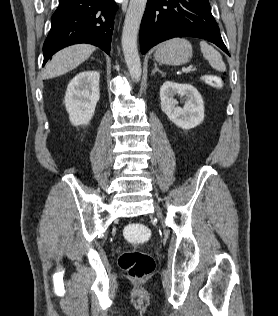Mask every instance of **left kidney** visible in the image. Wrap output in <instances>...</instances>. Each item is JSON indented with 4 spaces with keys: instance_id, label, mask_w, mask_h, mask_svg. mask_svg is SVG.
Returning <instances> with one entry per match:
<instances>
[{
    "instance_id": "1",
    "label": "left kidney",
    "mask_w": 278,
    "mask_h": 316,
    "mask_svg": "<svg viewBox=\"0 0 278 316\" xmlns=\"http://www.w3.org/2000/svg\"><path fill=\"white\" fill-rule=\"evenodd\" d=\"M185 98L183 108L178 107L174 95ZM161 109L168 118L182 129H192L204 120V103L198 90L190 84L166 81L160 88Z\"/></svg>"
}]
</instances>
